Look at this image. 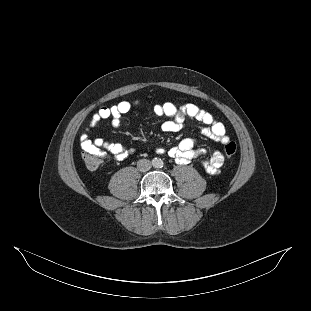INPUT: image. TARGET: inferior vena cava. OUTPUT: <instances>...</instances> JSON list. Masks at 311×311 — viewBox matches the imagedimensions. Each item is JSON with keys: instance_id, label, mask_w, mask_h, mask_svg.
I'll return each mask as SVG.
<instances>
[{"instance_id": "obj_1", "label": "inferior vena cava", "mask_w": 311, "mask_h": 311, "mask_svg": "<svg viewBox=\"0 0 311 311\" xmlns=\"http://www.w3.org/2000/svg\"><path fill=\"white\" fill-rule=\"evenodd\" d=\"M152 164L147 159H141L137 162V168L141 172H146L151 168Z\"/></svg>"}]
</instances>
